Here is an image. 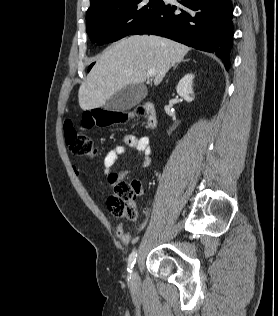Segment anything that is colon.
Here are the masks:
<instances>
[{
	"instance_id": "1",
	"label": "colon",
	"mask_w": 278,
	"mask_h": 316,
	"mask_svg": "<svg viewBox=\"0 0 278 316\" xmlns=\"http://www.w3.org/2000/svg\"><path fill=\"white\" fill-rule=\"evenodd\" d=\"M141 110L136 114L140 115ZM132 114L126 112H107L95 110L86 113L82 118L84 128L109 127L126 123ZM64 136L68 149L82 156H95L98 152L94 147L93 141L87 135L79 132L72 120H64ZM109 182L113 187L111 196L108 198L107 205L109 211L117 217H126L130 221H135L139 217L136 207V194L140 189V184L137 181L127 183L120 181L117 175H110Z\"/></svg>"
}]
</instances>
